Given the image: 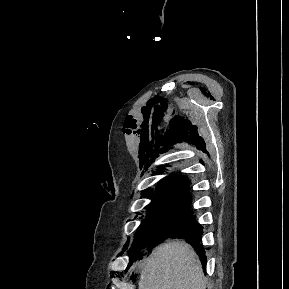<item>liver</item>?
Returning a JSON list of instances; mask_svg holds the SVG:
<instances>
[{
    "mask_svg": "<svg viewBox=\"0 0 289 289\" xmlns=\"http://www.w3.org/2000/svg\"><path fill=\"white\" fill-rule=\"evenodd\" d=\"M138 266L141 268L138 289H206L200 260L184 241L159 245Z\"/></svg>",
    "mask_w": 289,
    "mask_h": 289,
    "instance_id": "1",
    "label": "liver"
}]
</instances>
